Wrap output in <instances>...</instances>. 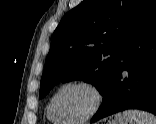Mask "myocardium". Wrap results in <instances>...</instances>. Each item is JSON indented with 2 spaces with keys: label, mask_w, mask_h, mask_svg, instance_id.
Returning a JSON list of instances; mask_svg holds the SVG:
<instances>
[{
  "label": "myocardium",
  "mask_w": 156,
  "mask_h": 124,
  "mask_svg": "<svg viewBox=\"0 0 156 124\" xmlns=\"http://www.w3.org/2000/svg\"><path fill=\"white\" fill-rule=\"evenodd\" d=\"M70 87L86 88L93 93L94 98H95V103H94V106L91 109V111L84 117L75 119V120L62 119L60 116H58V114L56 113V110H55V103H56L57 97L60 95V93L63 90L70 88ZM104 100H105V96H104V93L99 85H97L96 83L90 82V81H86V80H76V81H71V82H67V83L63 84L52 96L49 106H50V110H51L52 114L54 115V117L61 119L64 123L79 124V123L87 122V121L91 120L93 117H95V115L102 108Z\"/></svg>",
  "instance_id": "myocardium-1"
}]
</instances>
